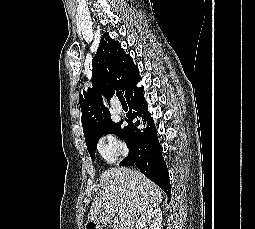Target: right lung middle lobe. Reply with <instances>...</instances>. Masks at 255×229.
<instances>
[{
    "instance_id": "1",
    "label": "right lung middle lobe",
    "mask_w": 255,
    "mask_h": 229,
    "mask_svg": "<svg viewBox=\"0 0 255 229\" xmlns=\"http://www.w3.org/2000/svg\"><path fill=\"white\" fill-rule=\"evenodd\" d=\"M121 124L122 122L114 123L111 120V118H109L97 128V130L95 131V133L92 135L90 139L86 140L87 149L92 158V161L95 160V150L97 148L98 140L100 139L102 135L107 133H114L118 135L119 137L123 138L128 148L130 149L129 141L127 140L125 135V128H121Z\"/></svg>"
}]
</instances>
